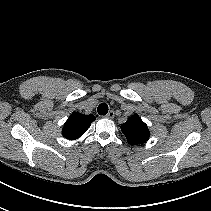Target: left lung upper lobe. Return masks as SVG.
<instances>
[{"mask_svg": "<svg viewBox=\"0 0 211 211\" xmlns=\"http://www.w3.org/2000/svg\"><path fill=\"white\" fill-rule=\"evenodd\" d=\"M121 130L128 143L131 145L143 144L148 141L150 137L147 125L137 114L131 116L124 124H122Z\"/></svg>", "mask_w": 211, "mask_h": 211, "instance_id": "5c2ea615", "label": "left lung upper lobe"}]
</instances>
